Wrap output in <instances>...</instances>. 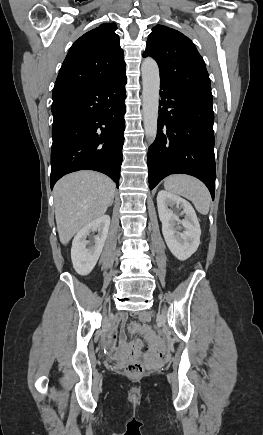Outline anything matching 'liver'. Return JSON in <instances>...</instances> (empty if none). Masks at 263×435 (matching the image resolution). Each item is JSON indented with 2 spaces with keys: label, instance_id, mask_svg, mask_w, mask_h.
Returning <instances> with one entry per match:
<instances>
[{
  "label": "liver",
  "instance_id": "liver-1",
  "mask_svg": "<svg viewBox=\"0 0 263 435\" xmlns=\"http://www.w3.org/2000/svg\"><path fill=\"white\" fill-rule=\"evenodd\" d=\"M115 184L107 176L79 171L61 178L54 187L55 219L62 244L112 205Z\"/></svg>",
  "mask_w": 263,
  "mask_h": 435
}]
</instances>
